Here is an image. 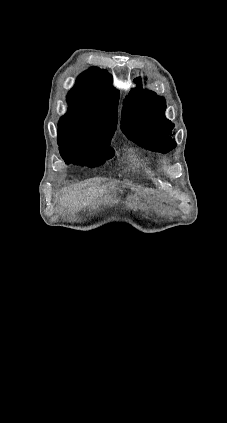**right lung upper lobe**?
Segmentation results:
<instances>
[{
	"label": "right lung upper lobe",
	"instance_id": "right-lung-upper-lobe-1",
	"mask_svg": "<svg viewBox=\"0 0 227 423\" xmlns=\"http://www.w3.org/2000/svg\"><path fill=\"white\" fill-rule=\"evenodd\" d=\"M107 71L91 67L68 93L69 112L58 124V141L112 138L118 118L119 92Z\"/></svg>",
	"mask_w": 227,
	"mask_h": 423
}]
</instances>
